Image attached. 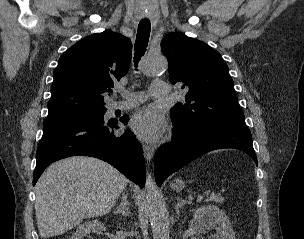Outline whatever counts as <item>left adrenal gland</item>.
Segmentation results:
<instances>
[{"label": "left adrenal gland", "mask_w": 304, "mask_h": 239, "mask_svg": "<svg viewBox=\"0 0 304 239\" xmlns=\"http://www.w3.org/2000/svg\"><path fill=\"white\" fill-rule=\"evenodd\" d=\"M177 203L175 206L176 209V213L179 216V210L184 206V204L190 203L189 200H184L182 198H180L179 196L176 197Z\"/></svg>", "instance_id": "1"}]
</instances>
